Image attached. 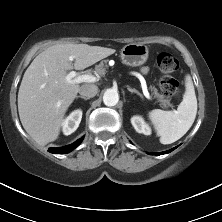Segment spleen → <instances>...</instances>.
<instances>
[{
	"label": "spleen",
	"instance_id": "1",
	"mask_svg": "<svg viewBox=\"0 0 222 222\" xmlns=\"http://www.w3.org/2000/svg\"><path fill=\"white\" fill-rule=\"evenodd\" d=\"M197 98L191 76L185 77L183 99L175 111L154 109L148 113L162 144H171L183 137L194 123Z\"/></svg>",
	"mask_w": 222,
	"mask_h": 222
}]
</instances>
